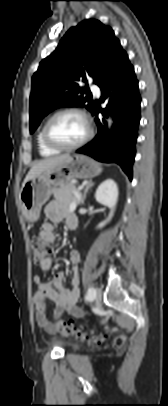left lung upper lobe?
I'll return each instance as SVG.
<instances>
[{"mask_svg": "<svg viewBox=\"0 0 168 406\" xmlns=\"http://www.w3.org/2000/svg\"><path fill=\"white\" fill-rule=\"evenodd\" d=\"M122 50L112 28L98 20H84L70 28L32 77L30 131L58 107L82 106L92 113L95 103L83 97L88 85L79 87L78 82L93 79L98 85Z\"/></svg>", "mask_w": 168, "mask_h": 406, "instance_id": "1", "label": "left lung upper lobe"}]
</instances>
